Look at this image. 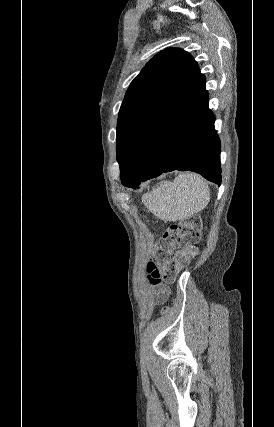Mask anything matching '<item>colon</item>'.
Instances as JSON below:
<instances>
[{
    "label": "colon",
    "mask_w": 274,
    "mask_h": 427,
    "mask_svg": "<svg viewBox=\"0 0 274 427\" xmlns=\"http://www.w3.org/2000/svg\"><path fill=\"white\" fill-rule=\"evenodd\" d=\"M199 238L200 219L193 215L168 226L161 239V248H182L183 254H192L194 258L197 255Z\"/></svg>",
    "instance_id": "colon-1"
}]
</instances>
